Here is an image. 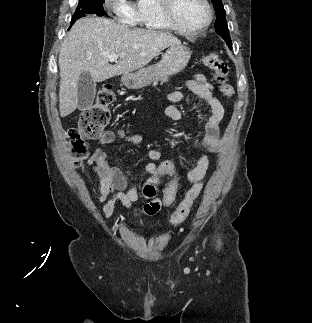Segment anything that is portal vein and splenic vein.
I'll list each match as a JSON object with an SVG mask.
<instances>
[{
    "label": "portal vein and splenic vein",
    "instance_id": "1",
    "mask_svg": "<svg viewBox=\"0 0 312 323\" xmlns=\"http://www.w3.org/2000/svg\"><path fill=\"white\" fill-rule=\"evenodd\" d=\"M109 62H117L119 56L118 54H112V56H107Z\"/></svg>",
    "mask_w": 312,
    "mask_h": 323
}]
</instances>
